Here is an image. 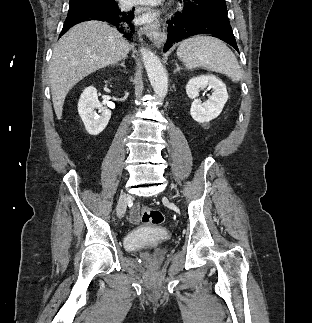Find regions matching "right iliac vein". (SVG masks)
<instances>
[{"label":"right iliac vein","instance_id":"obj_1","mask_svg":"<svg viewBox=\"0 0 312 323\" xmlns=\"http://www.w3.org/2000/svg\"><path fill=\"white\" fill-rule=\"evenodd\" d=\"M129 195L127 193H122L119 197L118 204H117V214L119 218H123L126 212L127 200Z\"/></svg>","mask_w":312,"mask_h":323}]
</instances>
